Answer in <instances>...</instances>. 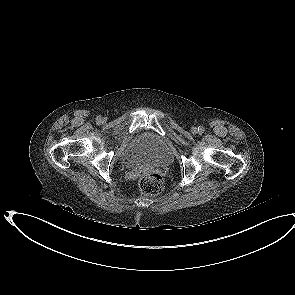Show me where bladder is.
<instances>
[{
	"label": "bladder",
	"mask_w": 295,
	"mask_h": 295,
	"mask_svg": "<svg viewBox=\"0 0 295 295\" xmlns=\"http://www.w3.org/2000/svg\"><path fill=\"white\" fill-rule=\"evenodd\" d=\"M121 160L128 166L144 163L166 167L172 164L173 154L164 139L154 133L144 132L130 140Z\"/></svg>",
	"instance_id": "1"
}]
</instances>
